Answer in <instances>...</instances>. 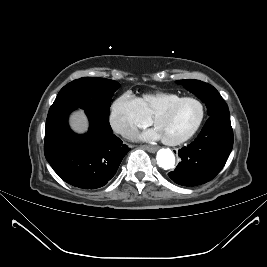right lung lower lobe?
I'll use <instances>...</instances> for the list:
<instances>
[{"label": "right lung lower lobe", "mask_w": 267, "mask_h": 267, "mask_svg": "<svg viewBox=\"0 0 267 267\" xmlns=\"http://www.w3.org/2000/svg\"><path fill=\"white\" fill-rule=\"evenodd\" d=\"M73 109H63L47 117L45 157L68 184L97 189L116 174L130 149L113 134L109 117L94 110H85L90 121L88 133H73L67 122Z\"/></svg>", "instance_id": "1"}]
</instances>
